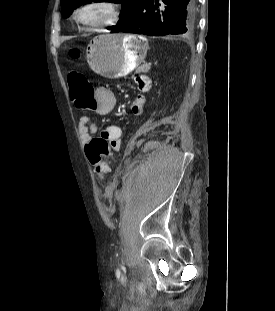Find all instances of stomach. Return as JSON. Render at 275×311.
Listing matches in <instances>:
<instances>
[{
  "instance_id": "obj_1",
  "label": "stomach",
  "mask_w": 275,
  "mask_h": 311,
  "mask_svg": "<svg viewBox=\"0 0 275 311\" xmlns=\"http://www.w3.org/2000/svg\"><path fill=\"white\" fill-rule=\"evenodd\" d=\"M148 50L146 38L131 34H104L95 37L86 49L89 67L107 78H120L136 69Z\"/></svg>"
}]
</instances>
